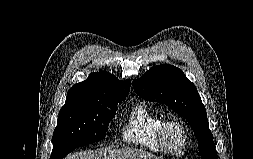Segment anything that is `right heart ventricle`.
Wrapping results in <instances>:
<instances>
[{"label":"right heart ventricle","instance_id":"e07e8e85","mask_svg":"<svg viewBox=\"0 0 253 159\" xmlns=\"http://www.w3.org/2000/svg\"><path fill=\"white\" fill-rule=\"evenodd\" d=\"M165 120L143 105H136L127 116L121 137L128 144L136 145L150 151H163L158 139L159 128Z\"/></svg>","mask_w":253,"mask_h":159}]
</instances>
